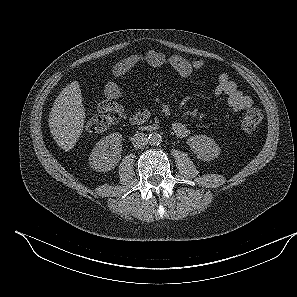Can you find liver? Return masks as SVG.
<instances>
[{
  "mask_svg": "<svg viewBox=\"0 0 297 297\" xmlns=\"http://www.w3.org/2000/svg\"><path fill=\"white\" fill-rule=\"evenodd\" d=\"M85 109L79 83L67 85L55 99L49 114L50 132L63 150H71L83 132Z\"/></svg>",
  "mask_w": 297,
  "mask_h": 297,
  "instance_id": "1",
  "label": "liver"
}]
</instances>
